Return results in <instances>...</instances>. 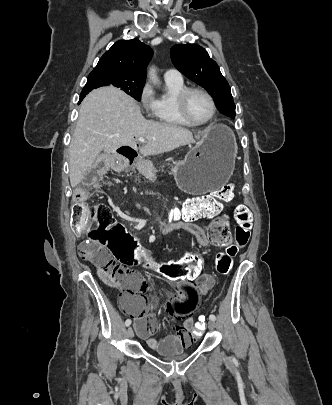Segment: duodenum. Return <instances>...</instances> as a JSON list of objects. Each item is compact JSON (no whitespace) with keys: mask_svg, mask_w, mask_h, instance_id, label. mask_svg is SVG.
I'll use <instances>...</instances> for the list:
<instances>
[{"mask_svg":"<svg viewBox=\"0 0 332 405\" xmlns=\"http://www.w3.org/2000/svg\"><path fill=\"white\" fill-rule=\"evenodd\" d=\"M129 164H132L136 158V152L132 150L123 151L120 153ZM210 216V214H208ZM192 220V215L189 212L184 213L182 216L176 218L166 219L161 223V229L164 233H169L174 230L185 229L187 222Z\"/></svg>","mask_w":332,"mask_h":405,"instance_id":"1","label":"duodenum"}]
</instances>
